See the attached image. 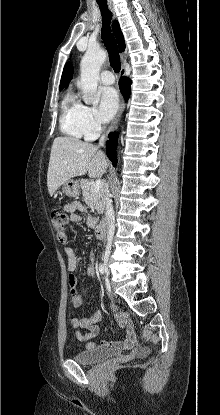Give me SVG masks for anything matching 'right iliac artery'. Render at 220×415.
Returning <instances> with one entry per match:
<instances>
[{
	"instance_id": "1",
	"label": "right iliac artery",
	"mask_w": 220,
	"mask_h": 415,
	"mask_svg": "<svg viewBox=\"0 0 220 415\" xmlns=\"http://www.w3.org/2000/svg\"><path fill=\"white\" fill-rule=\"evenodd\" d=\"M99 271L101 274H104V266L102 264L99 265Z\"/></svg>"
}]
</instances>
